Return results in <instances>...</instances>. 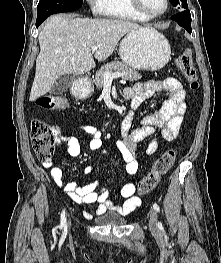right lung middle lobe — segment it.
<instances>
[{"label":"right lung middle lobe","instance_id":"1","mask_svg":"<svg viewBox=\"0 0 221 263\" xmlns=\"http://www.w3.org/2000/svg\"><path fill=\"white\" fill-rule=\"evenodd\" d=\"M82 4L83 0H40L37 6V18L73 11L80 8Z\"/></svg>","mask_w":221,"mask_h":263}]
</instances>
